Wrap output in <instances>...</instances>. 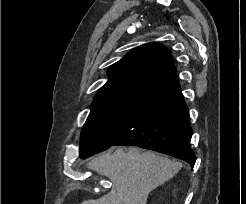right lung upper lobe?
<instances>
[{
  "label": "right lung upper lobe",
  "instance_id": "obj_1",
  "mask_svg": "<svg viewBox=\"0 0 246 204\" xmlns=\"http://www.w3.org/2000/svg\"><path fill=\"white\" fill-rule=\"evenodd\" d=\"M107 83L95 101L137 99L176 78L171 53L159 43L130 51L108 69Z\"/></svg>",
  "mask_w": 246,
  "mask_h": 204
}]
</instances>
